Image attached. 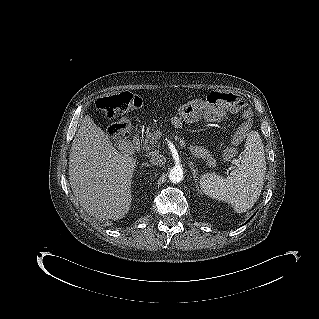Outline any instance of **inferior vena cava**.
Here are the masks:
<instances>
[{"instance_id": "1", "label": "inferior vena cava", "mask_w": 319, "mask_h": 319, "mask_svg": "<svg viewBox=\"0 0 319 319\" xmlns=\"http://www.w3.org/2000/svg\"><path fill=\"white\" fill-rule=\"evenodd\" d=\"M150 163L154 166H163L166 163V158L158 152H152L150 156Z\"/></svg>"}]
</instances>
